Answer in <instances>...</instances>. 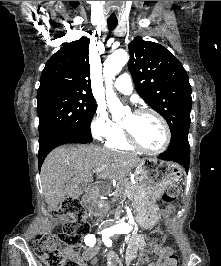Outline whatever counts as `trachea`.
Instances as JSON below:
<instances>
[{"label":"trachea","mask_w":221,"mask_h":266,"mask_svg":"<svg viewBox=\"0 0 221 266\" xmlns=\"http://www.w3.org/2000/svg\"><path fill=\"white\" fill-rule=\"evenodd\" d=\"M108 29L109 31H112L116 28L118 21L117 20H107Z\"/></svg>","instance_id":"obj_1"}]
</instances>
